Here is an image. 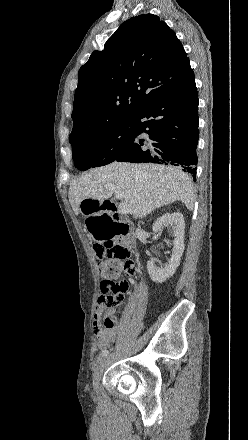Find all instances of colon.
I'll return each instance as SVG.
<instances>
[{"instance_id":"1","label":"colon","mask_w":248,"mask_h":440,"mask_svg":"<svg viewBox=\"0 0 248 440\" xmlns=\"http://www.w3.org/2000/svg\"><path fill=\"white\" fill-rule=\"evenodd\" d=\"M94 253L101 260L99 270L104 277L101 293L97 298V307L113 309L122 303L130 288L128 278L136 273L132 251L120 242L107 241L106 246H94ZM120 274H124L125 278H119ZM115 324L114 316L105 318L106 326L112 327Z\"/></svg>"}]
</instances>
